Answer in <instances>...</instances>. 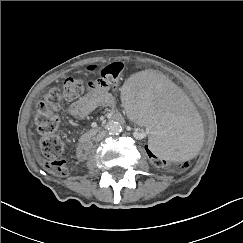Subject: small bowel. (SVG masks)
I'll list each match as a JSON object with an SVG mask.
<instances>
[{
  "mask_svg": "<svg viewBox=\"0 0 243 243\" xmlns=\"http://www.w3.org/2000/svg\"><path fill=\"white\" fill-rule=\"evenodd\" d=\"M114 98L106 85L95 84L81 98L74 101L69 111L72 116L85 118L99 106H112Z\"/></svg>",
  "mask_w": 243,
  "mask_h": 243,
  "instance_id": "1",
  "label": "small bowel"
}]
</instances>
